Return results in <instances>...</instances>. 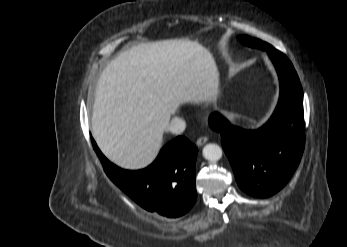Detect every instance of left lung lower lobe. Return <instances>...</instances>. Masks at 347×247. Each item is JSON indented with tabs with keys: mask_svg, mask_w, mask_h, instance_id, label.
Returning <instances> with one entry per match:
<instances>
[{
	"mask_svg": "<svg viewBox=\"0 0 347 247\" xmlns=\"http://www.w3.org/2000/svg\"><path fill=\"white\" fill-rule=\"evenodd\" d=\"M268 55L280 80L279 101L268 122L257 130H244L217 112L209 121L210 127L221 134L238 185L258 198L272 196L288 183L305 143L303 91L298 75L283 53L275 49Z\"/></svg>",
	"mask_w": 347,
	"mask_h": 247,
	"instance_id": "left-lung-lower-lobe-1",
	"label": "left lung lower lobe"
}]
</instances>
